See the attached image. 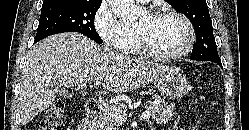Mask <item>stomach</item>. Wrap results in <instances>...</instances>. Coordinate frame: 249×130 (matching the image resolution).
Returning <instances> with one entry per match:
<instances>
[{
	"label": "stomach",
	"instance_id": "0dacf381",
	"mask_svg": "<svg viewBox=\"0 0 249 130\" xmlns=\"http://www.w3.org/2000/svg\"><path fill=\"white\" fill-rule=\"evenodd\" d=\"M155 86L161 95L169 99L180 98L190 90L187 78L178 70H170L155 79Z\"/></svg>",
	"mask_w": 249,
	"mask_h": 130
}]
</instances>
